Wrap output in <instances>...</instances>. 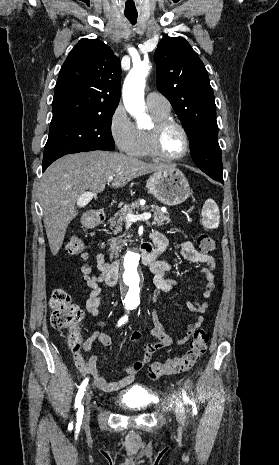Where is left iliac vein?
<instances>
[{"instance_id":"obj_1","label":"left iliac vein","mask_w":279,"mask_h":465,"mask_svg":"<svg viewBox=\"0 0 279 465\" xmlns=\"http://www.w3.org/2000/svg\"><path fill=\"white\" fill-rule=\"evenodd\" d=\"M176 418L180 423H183L185 419L184 408L180 400L177 402L176 405Z\"/></svg>"}]
</instances>
